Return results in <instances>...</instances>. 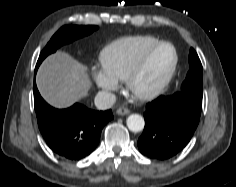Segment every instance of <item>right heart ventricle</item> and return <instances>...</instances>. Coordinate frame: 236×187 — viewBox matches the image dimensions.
<instances>
[{"label": "right heart ventricle", "mask_w": 236, "mask_h": 187, "mask_svg": "<svg viewBox=\"0 0 236 187\" xmlns=\"http://www.w3.org/2000/svg\"><path fill=\"white\" fill-rule=\"evenodd\" d=\"M159 40L149 35L123 37L100 52L102 68L118 80H125L142 54Z\"/></svg>", "instance_id": "obj_1"}]
</instances>
